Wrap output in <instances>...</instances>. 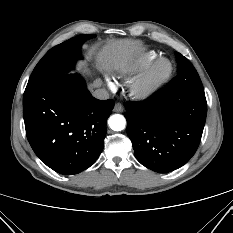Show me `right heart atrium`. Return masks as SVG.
Listing matches in <instances>:
<instances>
[{
    "label": "right heart atrium",
    "instance_id": "obj_1",
    "mask_svg": "<svg viewBox=\"0 0 233 233\" xmlns=\"http://www.w3.org/2000/svg\"><path fill=\"white\" fill-rule=\"evenodd\" d=\"M106 82L110 89L113 90L116 88V82L113 79L106 77Z\"/></svg>",
    "mask_w": 233,
    "mask_h": 233
}]
</instances>
